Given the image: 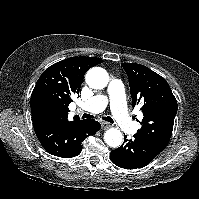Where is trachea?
<instances>
[{
    "label": "trachea",
    "instance_id": "trachea-1",
    "mask_svg": "<svg viewBox=\"0 0 199 199\" xmlns=\"http://www.w3.org/2000/svg\"><path fill=\"white\" fill-rule=\"evenodd\" d=\"M94 116L93 115H90V114H86V113H84L83 115H82V118L83 119H90V118H93ZM103 119L105 120V121H108V122H110V123H114V120L111 118V117H109V116H107V117H103Z\"/></svg>",
    "mask_w": 199,
    "mask_h": 199
}]
</instances>
